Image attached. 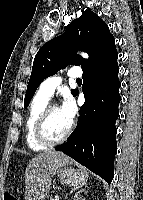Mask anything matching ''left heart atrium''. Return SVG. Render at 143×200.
Instances as JSON below:
<instances>
[{"mask_svg":"<svg viewBox=\"0 0 143 200\" xmlns=\"http://www.w3.org/2000/svg\"><path fill=\"white\" fill-rule=\"evenodd\" d=\"M60 110L65 118L68 120V122L71 124L76 114V106L71 96H64Z\"/></svg>","mask_w":143,"mask_h":200,"instance_id":"obj_1","label":"left heart atrium"}]
</instances>
